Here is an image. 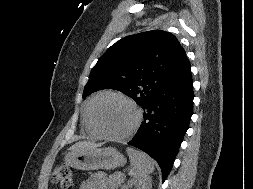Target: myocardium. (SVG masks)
<instances>
[{"mask_svg":"<svg viewBox=\"0 0 253 189\" xmlns=\"http://www.w3.org/2000/svg\"><path fill=\"white\" fill-rule=\"evenodd\" d=\"M105 97L119 98V99L123 100L124 102H126L128 105H130L131 108L134 110L135 120H134L132 127L130 128V130L128 132H126L122 135H112V134H109L106 131H104L100 127V125L98 124L96 117H95V108H96L97 103L102 98H105ZM89 119H90V123H91L92 127L99 134V136H101L105 139H108V140H112V141H123V140L129 139L138 131V129L141 125V122H142V111L133 99L124 95L123 93L115 92V91H106V92H102V93L98 94L96 97L93 98L91 106L89 108Z\"/></svg>","mask_w":253,"mask_h":189,"instance_id":"myocardium-1","label":"myocardium"}]
</instances>
